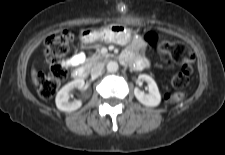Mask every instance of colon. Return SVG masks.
Wrapping results in <instances>:
<instances>
[{"mask_svg": "<svg viewBox=\"0 0 225 155\" xmlns=\"http://www.w3.org/2000/svg\"><path fill=\"white\" fill-rule=\"evenodd\" d=\"M73 38L72 31L64 30L49 35L45 40L46 56L50 59V67L48 71L38 74V92L44 99L52 98L61 82L67 77V68L58 59L68 53ZM144 40L159 53L163 61L179 65V70L171 80L174 91L165 95L166 103L176 104L182 99V89L187 85L192 73L193 54L190 48L181 41H159L153 33L146 34Z\"/></svg>", "mask_w": 225, "mask_h": 155, "instance_id": "1", "label": "colon"}]
</instances>
